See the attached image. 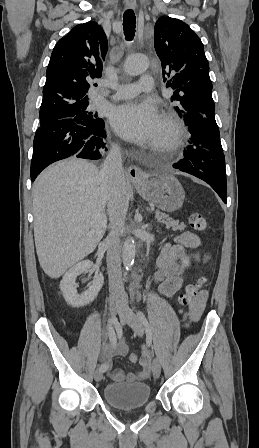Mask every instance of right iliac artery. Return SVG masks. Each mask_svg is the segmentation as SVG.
Returning a JSON list of instances; mask_svg holds the SVG:
<instances>
[{
    "label": "right iliac artery",
    "instance_id": "right-iliac-artery-1",
    "mask_svg": "<svg viewBox=\"0 0 259 448\" xmlns=\"http://www.w3.org/2000/svg\"><path fill=\"white\" fill-rule=\"evenodd\" d=\"M113 323H115V320L110 319L109 325H108V337H109L111 344H114L116 342V334H115L114 328L112 326ZM107 369H108V364H106V363L102 364L99 368V370L102 373L105 372Z\"/></svg>",
    "mask_w": 259,
    "mask_h": 448
}]
</instances>
